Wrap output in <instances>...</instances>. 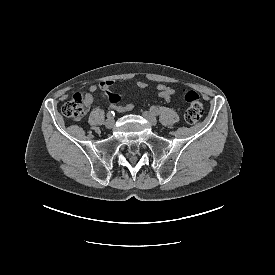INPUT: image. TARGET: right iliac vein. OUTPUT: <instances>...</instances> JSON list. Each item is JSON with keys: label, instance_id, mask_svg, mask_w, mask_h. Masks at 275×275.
<instances>
[{"label": "right iliac vein", "instance_id": "63e3f726", "mask_svg": "<svg viewBox=\"0 0 275 275\" xmlns=\"http://www.w3.org/2000/svg\"><path fill=\"white\" fill-rule=\"evenodd\" d=\"M115 120L113 117H109L106 122H105V126L108 129H111L114 126Z\"/></svg>", "mask_w": 275, "mask_h": 275}]
</instances>
